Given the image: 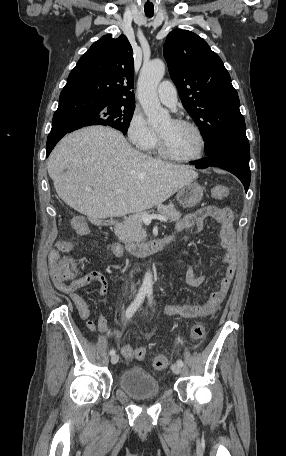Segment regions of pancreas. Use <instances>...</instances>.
I'll list each match as a JSON object with an SVG mask.
<instances>
[{"mask_svg": "<svg viewBox=\"0 0 286 456\" xmlns=\"http://www.w3.org/2000/svg\"><path fill=\"white\" fill-rule=\"evenodd\" d=\"M156 213L164 216L170 222H176L181 218V213L175 209L173 204L161 206L157 209ZM143 214L152 215L154 212L146 211L136 213L128 217L124 222L116 225L115 235L122 243L132 245L143 241L147 237V233L143 229Z\"/></svg>", "mask_w": 286, "mask_h": 456, "instance_id": "cf45deb5", "label": "pancreas"}]
</instances>
